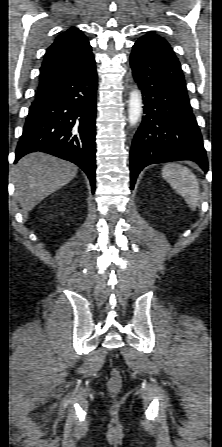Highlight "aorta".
<instances>
[{
  "instance_id": "aorta-1",
  "label": "aorta",
  "mask_w": 222,
  "mask_h": 447,
  "mask_svg": "<svg viewBox=\"0 0 222 447\" xmlns=\"http://www.w3.org/2000/svg\"><path fill=\"white\" fill-rule=\"evenodd\" d=\"M142 114V97L138 89H134L130 93L128 118L131 126L136 125Z\"/></svg>"
}]
</instances>
